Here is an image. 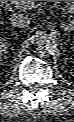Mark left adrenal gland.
Returning a JSON list of instances; mask_svg holds the SVG:
<instances>
[{"label": "left adrenal gland", "instance_id": "left-adrenal-gland-1", "mask_svg": "<svg viewBox=\"0 0 74 122\" xmlns=\"http://www.w3.org/2000/svg\"><path fill=\"white\" fill-rule=\"evenodd\" d=\"M61 27L64 28L65 31L69 29V26L65 23H63Z\"/></svg>", "mask_w": 74, "mask_h": 122}]
</instances>
